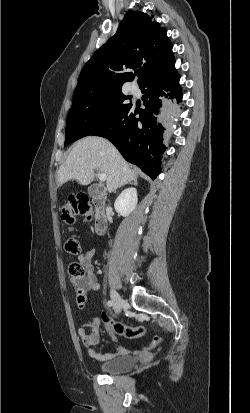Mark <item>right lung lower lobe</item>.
Instances as JSON below:
<instances>
[{
  "instance_id": "obj_1",
  "label": "right lung lower lobe",
  "mask_w": 250,
  "mask_h": 413,
  "mask_svg": "<svg viewBox=\"0 0 250 413\" xmlns=\"http://www.w3.org/2000/svg\"><path fill=\"white\" fill-rule=\"evenodd\" d=\"M176 70L145 80L140 86L144 93V108L131 104L109 123L91 135L108 138L130 163L140 167L153 180L161 172V158L166 147L163 133L167 130L162 97L182 99ZM139 117H135V115Z\"/></svg>"
}]
</instances>
